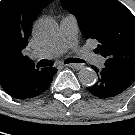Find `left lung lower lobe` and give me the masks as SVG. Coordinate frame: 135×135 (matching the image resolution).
I'll return each instance as SVG.
<instances>
[{
  "label": "left lung lower lobe",
  "mask_w": 135,
  "mask_h": 135,
  "mask_svg": "<svg viewBox=\"0 0 135 135\" xmlns=\"http://www.w3.org/2000/svg\"><path fill=\"white\" fill-rule=\"evenodd\" d=\"M92 68L98 73V80L92 86L87 87V90L99 98L117 96L135 81V79L118 73L109 67L98 69L92 66Z\"/></svg>",
  "instance_id": "left-lung-lower-lobe-1"
}]
</instances>
